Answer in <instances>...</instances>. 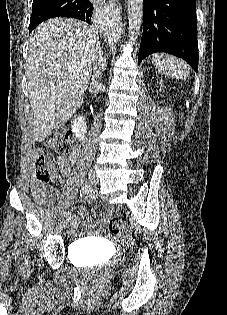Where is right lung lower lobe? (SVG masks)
Instances as JSON below:
<instances>
[{
	"label": "right lung lower lobe",
	"instance_id": "98d812e1",
	"mask_svg": "<svg viewBox=\"0 0 227 315\" xmlns=\"http://www.w3.org/2000/svg\"><path fill=\"white\" fill-rule=\"evenodd\" d=\"M92 11L93 4L88 0H81L64 9L61 17L76 18L91 24Z\"/></svg>",
	"mask_w": 227,
	"mask_h": 315
}]
</instances>
